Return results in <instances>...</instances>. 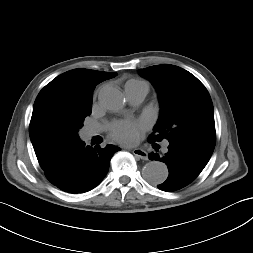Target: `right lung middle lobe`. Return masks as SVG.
Here are the masks:
<instances>
[{
	"mask_svg": "<svg viewBox=\"0 0 253 253\" xmlns=\"http://www.w3.org/2000/svg\"><path fill=\"white\" fill-rule=\"evenodd\" d=\"M92 112V101L51 108L46 115V123L56 134L79 141L78 130L83 126L85 117Z\"/></svg>",
	"mask_w": 253,
	"mask_h": 253,
	"instance_id": "dd1d6c3e",
	"label": "right lung middle lobe"
}]
</instances>
